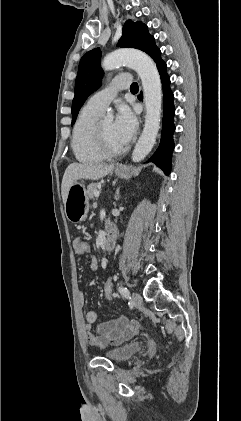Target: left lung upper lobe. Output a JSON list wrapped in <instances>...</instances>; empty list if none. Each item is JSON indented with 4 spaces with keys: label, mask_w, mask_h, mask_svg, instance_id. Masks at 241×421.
Returning <instances> with one entry per match:
<instances>
[{
    "label": "left lung upper lobe",
    "mask_w": 241,
    "mask_h": 421,
    "mask_svg": "<svg viewBox=\"0 0 241 421\" xmlns=\"http://www.w3.org/2000/svg\"><path fill=\"white\" fill-rule=\"evenodd\" d=\"M153 37L143 23L126 21L118 47H130L144 50ZM101 51L99 48L87 52L80 60L75 82V96L72 102V125L87 97L100 86L103 71L100 67Z\"/></svg>",
    "instance_id": "left-lung-upper-lobe-1"
}]
</instances>
